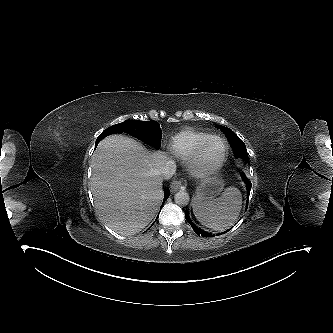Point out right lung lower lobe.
Wrapping results in <instances>:
<instances>
[{
    "label": "right lung lower lobe",
    "instance_id": "98d812e1",
    "mask_svg": "<svg viewBox=\"0 0 333 333\" xmlns=\"http://www.w3.org/2000/svg\"><path fill=\"white\" fill-rule=\"evenodd\" d=\"M110 135V133L104 131L102 134L99 135V137L97 138L96 140V143H95V148L96 146L98 145V143L106 136ZM170 196V191L169 190H165L164 191V201H163V204L164 202L167 200V198ZM163 206V205H162ZM161 206V208H162ZM159 216V215H158ZM157 220V219H156Z\"/></svg>",
    "mask_w": 333,
    "mask_h": 333
}]
</instances>
